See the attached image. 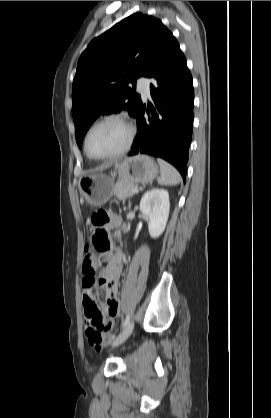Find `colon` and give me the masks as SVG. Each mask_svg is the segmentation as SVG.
<instances>
[{"instance_id":"5ec220e1","label":"colon","mask_w":271,"mask_h":418,"mask_svg":"<svg viewBox=\"0 0 271 418\" xmlns=\"http://www.w3.org/2000/svg\"><path fill=\"white\" fill-rule=\"evenodd\" d=\"M107 215L99 212L93 215L92 223L96 227L93 235V245L98 252H105L110 249V242L106 231L102 228L106 223ZM87 329L86 335L90 346L94 349H100L104 337L103 334L108 329L101 312L96 309H90L86 314Z\"/></svg>"}]
</instances>
